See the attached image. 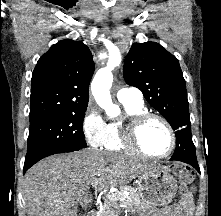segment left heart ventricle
I'll return each mask as SVG.
<instances>
[{
    "mask_svg": "<svg viewBox=\"0 0 221 216\" xmlns=\"http://www.w3.org/2000/svg\"><path fill=\"white\" fill-rule=\"evenodd\" d=\"M142 146L150 153L163 154L170 147V136L166 127L157 120L145 124L140 134Z\"/></svg>",
    "mask_w": 221,
    "mask_h": 216,
    "instance_id": "left-heart-ventricle-1",
    "label": "left heart ventricle"
}]
</instances>
